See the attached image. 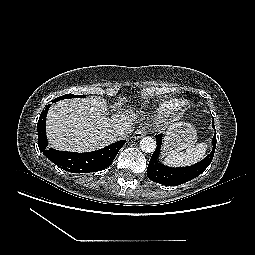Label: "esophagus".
Here are the masks:
<instances>
[{"instance_id": "34e87169", "label": "esophagus", "mask_w": 255, "mask_h": 255, "mask_svg": "<svg viewBox=\"0 0 255 255\" xmlns=\"http://www.w3.org/2000/svg\"><path fill=\"white\" fill-rule=\"evenodd\" d=\"M145 134H147V129L145 127H142V128L137 129L134 132L133 137L135 139H139V138L143 137Z\"/></svg>"}]
</instances>
